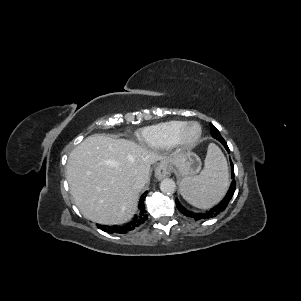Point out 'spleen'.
<instances>
[{
    "label": "spleen",
    "mask_w": 301,
    "mask_h": 301,
    "mask_svg": "<svg viewBox=\"0 0 301 301\" xmlns=\"http://www.w3.org/2000/svg\"><path fill=\"white\" fill-rule=\"evenodd\" d=\"M229 185L228 167L224 154L210 144L204 169L198 176L186 177L180 182V193L191 205L206 209L218 203Z\"/></svg>",
    "instance_id": "spleen-1"
}]
</instances>
